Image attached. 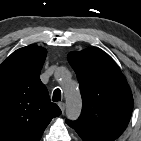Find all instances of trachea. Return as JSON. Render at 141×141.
Masks as SVG:
<instances>
[{
  "label": "trachea",
  "instance_id": "trachea-1",
  "mask_svg": "<svg viewBox=\"0 0 141 141\" xmlns=\"http://www.w3.org/2000/svg\"><path fill=\"white\" fill-rule=\"evenodd\" d=\"M52 101H54V102L61 101V91H60V89L54 90Z\"/></svg>",
  "mask_w": 141,
  "mask_h": 141
}]
</instances>
